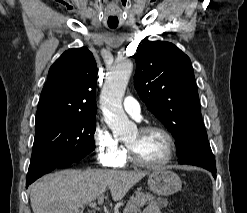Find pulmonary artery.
Instances as JSON below:
<instances>
[{
    "mask_svg": "<svg viewBox=\"0 0 247 213\" xmlns=\"http://www.w3.org/2000/svg\"><path fill=\"white\" fill-rule=\"evenodd\" d=\"M124 110L134 118L139 119L141 108L139 103L131 96L125 98L123 102Z\"/></svg>",
    "mask_w": 247,
    "mask_h": 213,
    "instance_id": "1",
    "label": "pulmonary artery"
}]
</instances>
